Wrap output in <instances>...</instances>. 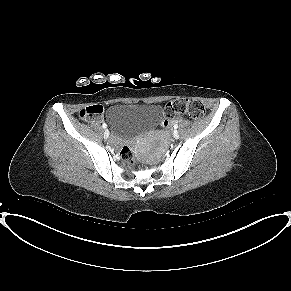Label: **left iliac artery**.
<instances>
[{
  "label": "left iliac artery",
  "instance_id": "44dca946",
  "mask_svg": "<svg viewBox=\"0 0 291 291\" xmlns=\"http://www.w3.org/2000/svg\"><path fill=\"white\" fill-rule=\"evenodd\" d=\"M174 128H175V129H177V128H178V125H177V124H175V125H174Z\"/></svg>",
  "mask_w": 291,
  "mask_h": 291
}]
</instances>
